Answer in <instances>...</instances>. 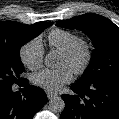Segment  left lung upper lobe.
I'll list each match as a JSON object with an SVG mask.
<instances>
[{"mask_svg":"<svg viewBox=\"0 0 119 119\" xmlns=\"http://www.w3.org/2000/svg\"><path fill=\"white\" fill-rule=\"evenodd\" d=\"M57 26L79 29L93 42L91 61L78 86L93 84H119V27L109 19L88 13L69 20H60Z\"/></svg>","mask_w":119,"mask_h":119,"instance_id":"obj_1","label":"left lung upper lobe"}]
</instances>
